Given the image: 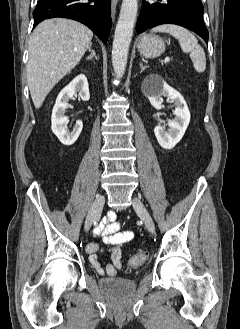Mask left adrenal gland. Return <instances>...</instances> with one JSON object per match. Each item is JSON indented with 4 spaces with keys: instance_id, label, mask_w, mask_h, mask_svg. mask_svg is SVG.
<instances>
[{
    "instance_id": "obj_1",
    "label": "left adrenal gland",
    "mask_w": 240,
    "mask_h": 329,
    "mask_svg": "<svg viewBox=\"0 0 240 329\" xmlns=\"http://www.w3.org/2000/svg\"><path fill=\"white\" fill-rule=\"evenodd\" d=\"M140 65V68H141V72L144 71L148 66H143L142 63L139 64Z\"/></svg>"
}]
</instances>
